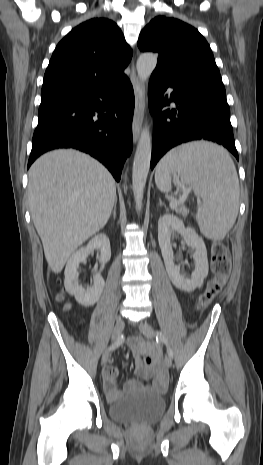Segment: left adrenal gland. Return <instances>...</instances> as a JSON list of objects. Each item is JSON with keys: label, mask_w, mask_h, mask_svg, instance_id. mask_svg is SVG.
I'll list each match as a JSON object with an SVG mask.
<instances>
[{"label": "left adrenal gland", "mask_w": 263, "mask_h": 465, "mask_svg": "<svg viewBox=\"0 0 263 465\" xmlns=\"http://www.w3.org/2000/svg\"><path fill=\"white\" fill-rule=\"evenodd\" d=\"M159 205H160V206H165V204L162 202L161 199H159ZM165 207H166V206H165Z\"/></svg>", "instance_id": "left-adrenal-gland-1"}]
</instances>
